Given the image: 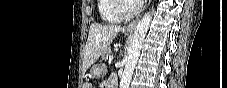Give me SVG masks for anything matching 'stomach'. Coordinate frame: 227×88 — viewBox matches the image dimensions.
I'll return each instance as SVG.
<instances>
[{
  "mask_svg": "<svg viewBox=\"0 0 227 88\" xmlns=\"http://www.w3.org/2000/svg\"><path fill=\"white\" fill-rule=\"evenodd\" d=\"M105 73V67L102 64H97L92 66L91 70H90V77L91 78H100L102 75H104Z\"/></svg>",
  "mask_w": 227,
  "mask_h": 88,
  "instance_id": "0dacf381",
  "label": "stomach"
}]
</instances>
